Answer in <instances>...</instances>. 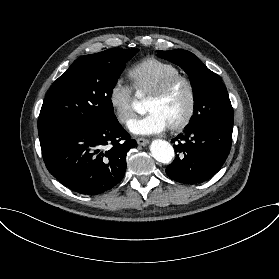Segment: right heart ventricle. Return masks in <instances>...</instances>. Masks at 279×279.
I'll return each mask as SVG.
<instances>
[{"instance_id": "1", "label": "right heart ventricle", "mask_w": 279, "mask_h": 279, "mask_svg": "<svg viewBox=\"0 0 279 279\" xmlns=\"http://www.w3.org/2000/svg\"><path fill=\"white\" fill-rule=\"evenodd\" d=\"M181 73V69L173 63L147 58L136 64L129 71V76L135 90L150 95L166 79Z\"/></svg>"}]
</instances>
